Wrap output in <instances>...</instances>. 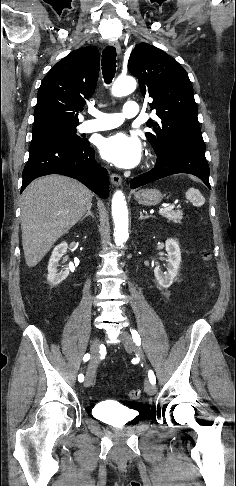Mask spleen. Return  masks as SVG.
I'll return each instance as SVG.
<instances>
[{
    "mask_svg": "<svg viewBox=\"0 0 236 486\" xmlns=\"http://www.w3.org/2000/svg\"><path fill=\"white\" fill-rule=\"evenodd\" d=\"M186 197L196 207L202 206L205 203V199L198 189L189 188L186 192Z\"/></svg>",
    "mask_w": 236,
    "mask_h": 486,
    "instance_id": "1",
    "label": "spleen"
}]
</instances>
